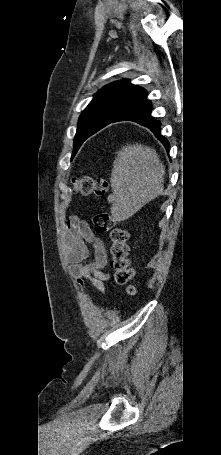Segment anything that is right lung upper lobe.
Wrapping results in <instances>:
<instances>
[{"label": "right lung upper lobe", "instance_id": "cb5924a9", "mask_svg": "<svg viewBox=\"0 0 221 455\" xmlns=\"http://www.w3.org/2000/svg\"><path fill=\"white\" fill-rule=\"evenodd\" d=\"M146 91L121 80L104 86L98 91L89 105H112L122 108L125 112L146 99ZM88 105V106H89Z\"/></svg>", "mask_w": 221, "mask_h": 455}]
</instances>
